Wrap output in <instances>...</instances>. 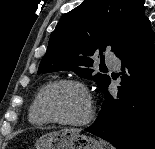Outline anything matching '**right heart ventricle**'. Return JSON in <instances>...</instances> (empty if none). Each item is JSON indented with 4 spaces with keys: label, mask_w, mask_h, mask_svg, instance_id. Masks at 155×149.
<instances>
[{
    "label": "right heart ventricle",
    "mask_w": 155,
    "mask_h": 149,
    "mask_svg": "<svg viewBox=\"0 0 155 149\" xmlns=\"http://www.w3.org/2000/svg\"><path fill=\"white\" fill-rule=\"evenodd\" d=\"M40 92L41 90L34 97L32 103L30 104L29 111H28L29 122L32 125L39 126V127L49 124V121H47L38 110V98H39Z\"/></svg>",
    "instance_id": "e07e8e85"
}]
</instances>
